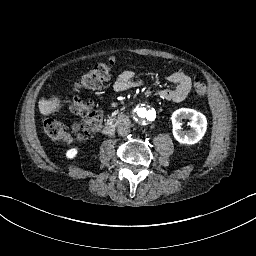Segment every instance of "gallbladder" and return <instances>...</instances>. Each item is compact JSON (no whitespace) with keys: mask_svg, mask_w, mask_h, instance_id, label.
<instances>
[{"mask_svg":"<svg viewBox=\"0 0 256 256\" xmlns=\"http://www.w3.org/2000/svg\"><path fill=\"white\" fill-rule=\"evenodd\" d=\"M86 109H89V106L88 105H85Z\"/></svg>","mask_w":256,"mask_h":256,"instance_id":"bac80fb5","label":"gallbladder"}]
</instances>
